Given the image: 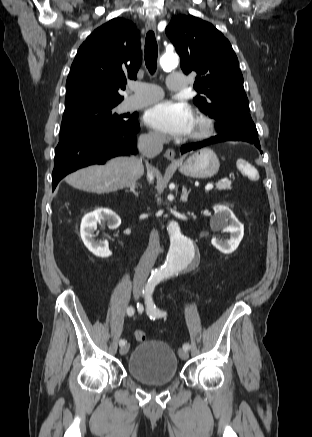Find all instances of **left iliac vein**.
Segmentation results:
<instances>
[{
  "mask_svg": "<svg viewBox=\"0 0 312 437\" xmlns=\"http://www.w3.org/2000/svg\"><path fill=\"white\" fill-rule=\"evenodd\" d=\"M178 354H179L180 358L183 359V360H186L189 357L188 350L183 349V348L179 349Z\"/></svg>",
  "mask_w": 312,
  "mask_h": 437,
  "instance_id": "obj_1",
  "label": "left iliac vein"
}]
</instances>
